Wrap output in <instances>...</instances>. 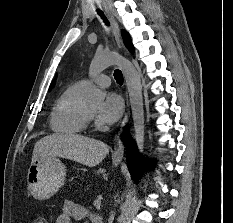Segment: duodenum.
<instances>
[{"label":"duodenum","instance_id":"obj_1","mask_svg":"<svg viewBox=\"0 0 233 223\" xmlns=\"http://www.w3.org/2000/svg\"><path fill=\"white\" fill-rule=\"evenodd\" d=\"M95 223H102V221L100 219H97Z\"/></svg>","mask_w":233,"mask_h":223}]
</instances>
